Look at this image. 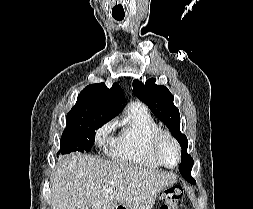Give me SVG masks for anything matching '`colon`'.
Here are the masks:
<instances>
[{
    "instance_id": "1",
    "label": "colon",
    "mask_w": 253,
    "mask_h": 209,
    "mask_svg": "<svg viewBox=\"0 0 253 209\" xmlns=\"http://www.w3.org/2000/svg\"><path fill=\"white\" fill-rule=\"evenodd\" d=\"M183 196V188L180 185H174L165 191L164 200L166 204L161 209H176V203Z\"/></svg>"
}]
</instances>
